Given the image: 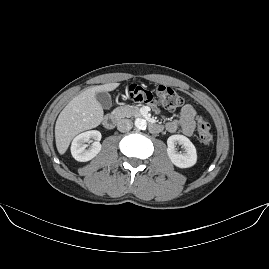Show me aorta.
Segmentation results:
<instances>
[{
    "label": "aorta",
    "mask_w": 269,
    "mask_h": 269,
    "mask_svg": "<svg viewBox=\"0 0 269 269\" xmlns=\"http://www.w3.org/2000/svg\"><path fill=\"white\" fill-rule=\"evenodd\" d=\"M135 126L138 128V129H144L146 128L147 126V122L145 119H142V118H137L135 120Z\"/></svg>",
    "instance_id": "762f6f07"
}]
</instances>
